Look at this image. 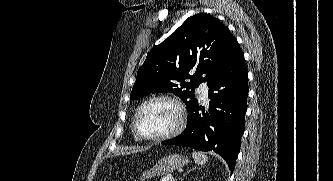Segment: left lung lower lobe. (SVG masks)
<instances>
[{
    "label": "left lung lower lobe",
    "instance_id": "1",
    "mask_svg": "<svg viewBox=\"0 0 333 181\" xmlns=\"http://www.w3.org/2000/svg\"><path fill=\"white\" fill-rule=\"evenodd\" d=\"M207 85L211 99L209 113L198 104L188 112L185 130L162 144L214 151L224 158L233 172L245 126L248 95L247 68L240 48L209 78ZM199 110L203 113L199 114Z\"/></svg>",
    "mask_w": 333,
    "mask_h": 181
}]
</instances>
